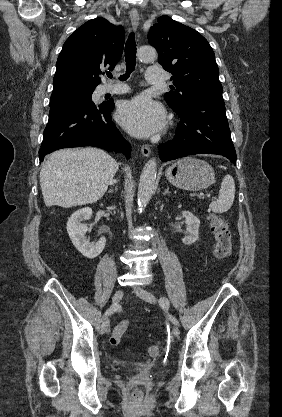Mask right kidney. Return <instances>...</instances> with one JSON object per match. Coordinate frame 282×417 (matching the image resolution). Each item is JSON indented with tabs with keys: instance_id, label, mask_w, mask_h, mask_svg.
<instances>
[{
	"instance_id": "obj_1",
	"label": "right kidney",
	"mask_w": 282,
	"mask_h": 417,
	"mask_svg": "<svg viewBox=\"0 0 282 417\" xmlns=\"http://www.w3.org/2000/svg\"><path fill=\"white\" fill-rule=\"evenodd\" d=\"M91 215L92 209H90V206H85V209L75 211L67 221V233L74 247L87 259L98 257L106 245L105 237H101L97 243H89V239L85 237L88 227L83 225L82 221L90 219Z\"/></svg>"
}]
</instances>
